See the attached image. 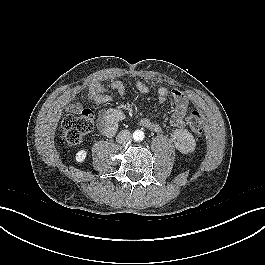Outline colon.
Instances as JSON below:
<instances>
[{"instance_id":"colon-1","label":"colon","mask_w":265,"mask_h":265,"mask_svg":"<svg viewBox=\"0 0 265 265\" xmlns=\"http://www.w3.org/2000/svg\"><path fill=\"white\" fill-rule=\"evenodd\" d=\"M187 124L189 129L196 135L203 132L202 115L197 110H192L188 116ZM94 126V115L84 109L77 115H67L61 123L62 139L70 145H77L83 136L90 132Z\"/></svg>"}]
</instances>
